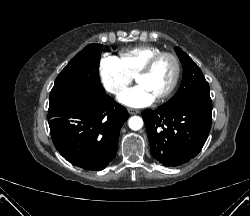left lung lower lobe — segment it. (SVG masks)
<instances>
[{"label": "left lung lower lobe", "mask_w": 250, "mask_h": 216, "mask_svg": "<svg viewBox=\"0 0 250 216\" xmlns=\"http://www.w3.org/2000/svg\"><path fill=\"white\" fill-rule=\"evenodd\" d=\"M153 157L166 167L197 156L210 131L212 104L191 101L142 114Z\"/></svg>", "instance_id": "1"}]
</instances>
